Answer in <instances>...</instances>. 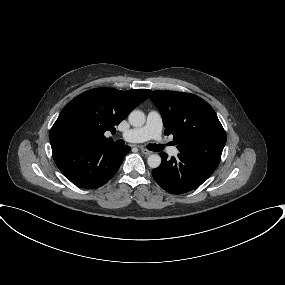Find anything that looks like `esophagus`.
<instances>
[{
  "mask_svg": "<svg viewBox=\"0 0 285 285\" xmlns=\"http://www.w3.org/2000/svg\"><path fill=\"white\" fill-rule=\"evenodd\" d=\"M141 152H142L143 154H145V155H151V154H152V151H149V150H147V149H145V148H141Z\"/></svg>",
  "mask_w": 285,
  "mask_h": 285,
  "instance_id": "34e87169",
  "label": "esophagus"
}]
</instances>
